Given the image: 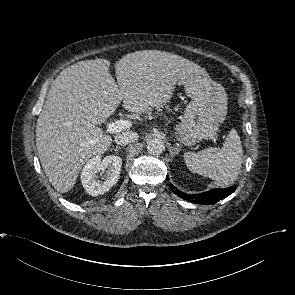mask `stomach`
<instances>
[{"mask_svg": "<svg viewBox=\"0 0 295 295\" xmlns=\"http://www.w3.org/2000/svg\"><path fill=\"white\" fill-rule=\"evenodd\" d=\"M183 83L191 101L181 122L175 127V134L183 145L192 146L215 137L226 116L227 94L208 75L193 74Z\"/></svg>", "mask_w": 295, "mask_h": 295, "instance_id": "0dacf381", "label": "stomach"}]
</instances>
